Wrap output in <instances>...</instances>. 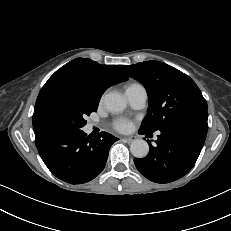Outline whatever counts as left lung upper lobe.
<instances>
[{
	"instance_id": "1",
	"label": "left lung upper lobe",
	"mask_w": 231,
	"mask_h": 231,
	"mask_svg": "<svg viewBox=\"0 0 231 231\" xmlns=\"http://www.w3.org/2000/svg\"><path fill=\"white\" fill-rule=\"evenodd\" d=\"M120 68L147 90L149 107L140 128L154 132L187 120L207 122L206 100L188 75L159 61Z\"/></svg>"
}]
</instances>
